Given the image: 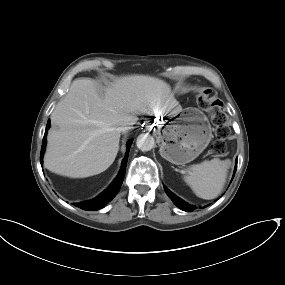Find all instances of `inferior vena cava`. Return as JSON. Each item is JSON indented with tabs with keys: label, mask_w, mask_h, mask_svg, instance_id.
<instances>
[{
	"label": "inferior vena cava",
	"mask_w": 285,
	"mask_h": 285,
	"mask_svg": "<svg viewBox=\"0 0 285 285\" xmlns=\"http://www.w3.org/2000/svg\"><path fill=\"white\" fill-rule=\"evenodd\" d=\"M130 125H133V122H129V123H126V124H124V125H122V126H119V127L117 128V130H118L119 132H126V131H128L129 129H131Z\"/></svg>",
	"instance_id": "602c4592"
}]
</instances>
